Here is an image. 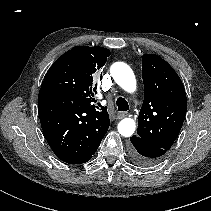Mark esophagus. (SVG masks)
Returning a JSON list of instances; mask_svg holds the SVG:
<instances>
[{
  "mask_svg": "<svg viewBox=\"0 0 211 211\" xmlns=\"http://www.w3.org/2000/svg\"><path fill=\"white\" fill-rule=\"evenodd\" d=\"M126 116H127L126 112H119L116 117H117V119H122V118H124Z\"/></svg>",
  "mask_w": 211,
  "mask_h": 211,
  "instance_id": "1",
  "label": "esophagus"
}]
</instances>
